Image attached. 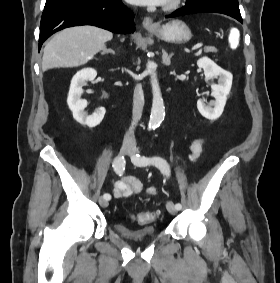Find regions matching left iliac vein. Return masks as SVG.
I'll return each instance as SVG.
<instances>
[{"label":"left iliac vein","instance_id":"left-iliac-vein-1","mask_svg":"<svg viewBox=\"0 0 280 283\" xmlns=\"http://www.w3.org/2000/svg\"><path fill=\"white\" fill-rule=\"evenodd\" d=\"M137 150L136 149H133L130 153H129V155H130V157H131V159H132V161L135 163V161H134V158L136 157V155H137ZM136 164V163H135ZM166 208H167V210H168V212L170 213V214H172V215H175L177 212H178V209L175 207V205H174V203L172 202V201H167V203H166Z\"/></svg>","mask_w":280,"mask_h":283}]
</instances>
